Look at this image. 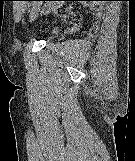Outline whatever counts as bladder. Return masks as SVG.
Segmentation results:
<instances>
[{"label": "bladder", "mask_w": 135, "mask_h": 161, "mask_svg": "<svg viewBox=\"0 0 135 161\" xmlns=\"http://www.w3.org/2000/svg\"><path fill=\"white\" fill-rule=\"evenodd\" d=\"M58 30H59V26L57 24H52L48 27L47 35H53L57 33Z\"/></svg>", "instance_id": "1"}]
</instances>
